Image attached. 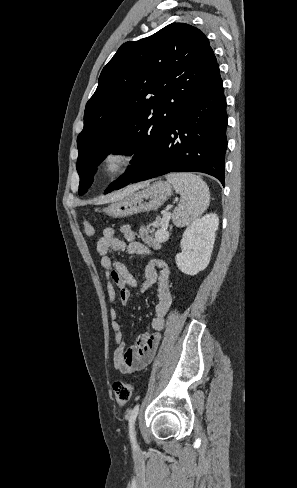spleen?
Listing matches in <instances>:
<instances>
[{
	"instance_id": "1",
	"label": "spleen",
	"mask_w": 297,
	"mask_h": 488,
	"mask_svg": "<svg viewBox=\"0 0 297 488\" xmlns=\"http://www.w3.org/2000/svg\"><path fill=\"white\" fill-rule=\"evenodd\" d=\"M181 199L173 212V221L179 227L189 224L209 206V188L199 177L190 173H171L166 176Z\"/></svg>"
}]
</instances>
